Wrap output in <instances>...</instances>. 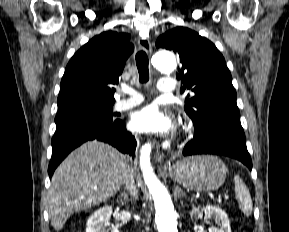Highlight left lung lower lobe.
Instances as JSON below:
<instances>
[{"label":"left lung lower lobe","instance_id":"obj_1","mask_svg":"<svg viewBox=\"0 0 289 232\" xmlns=\"http://www.w3.org/2000/svg\"><path fill=\"white\" fill-rule=\"evenodd\" d=\"M196 154L228 156L252 169V161L247 151L241 124H220L202 130L195 129V136L184 147L183 155Z\"/></svg>","mask_w":289,"mask_h":232}]
</instances>
